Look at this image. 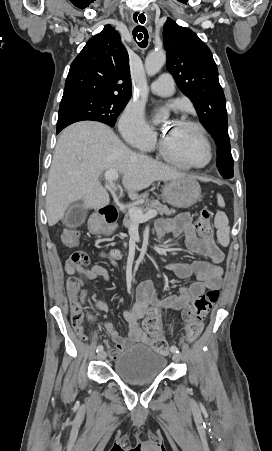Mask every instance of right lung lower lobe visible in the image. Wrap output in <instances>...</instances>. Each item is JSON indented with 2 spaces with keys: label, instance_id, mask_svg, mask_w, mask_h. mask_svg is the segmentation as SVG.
I'll return each instance as SVG.
<instances>
[{
  "label": "right lung lower lobe",
  "instance_id": "1",
  "mask_svg": "<svg viewBox=\"0 0 272 451\" xmlns=\"http://www.w3.org/2000/svg\"><path fill=\"white\" fill-rule=\"evenodd\" d=\"M61 131V130H60ZM59 130H57V133H59L60 132Z\"/></svg>",
  "mask_w": 272,
  "mask_h": 451
}]
</instances>
